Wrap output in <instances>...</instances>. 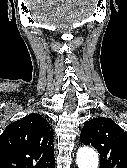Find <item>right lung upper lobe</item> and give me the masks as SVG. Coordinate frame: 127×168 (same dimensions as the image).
<instances>
[{"label": "right lung upper lobe", "mask_w": 127, "mask_h": 168, "mask_svg": "<svg viewBox=\"0 0 127 168\" xmlns=\"http://www.w3.org/2000/svg\"><path fill=\"white\" fill-rule=\"evenodd\" d=\"M53 130L32 113L8 125L0 135V168H54Z\"/></svg>", "instance_id": "cb5924a9"}]
</instances>
